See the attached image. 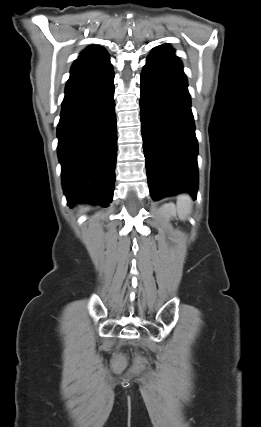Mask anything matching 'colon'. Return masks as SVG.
I'll list each match as a JSON object with an SVG mask.
<instances>
[{"mask_svg": "<svg viewBox=\"0 0 261 427\" xmlns=\"http://www.w3.org/2000/svg\"><path fill=\"white\" fill-rule=\"evenodd\" d=\"M145 366H146V360H145L143 357L139 356V357L137 358V361H136V369H137V370H141V369H143Z\"/></svg>", "mask_w": 261, "mask_h": 427, "instance_id": "colon-1", "label": "colon"}]
</instances>
